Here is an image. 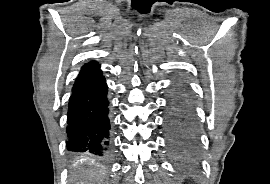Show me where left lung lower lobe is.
I'll return each mask as SVG.
<instances>
[{
	"label": "left lung lower lobe",
	"instance_id": "0a47b994",
	"mask_svg": "<svg viewBox=\"0 0 270 184\" xmlns=\"http://www.w3.org/2000/svg\"><path fill=\"white\" fill-rule=\"evenodd\" d=\"M164 129L171 155L179 160L199 157V131L192 97L184 84L172 92Z\"/></svg>",
	"mask_w": 270,
	"mask_h": 184
}]
</instances>
